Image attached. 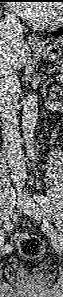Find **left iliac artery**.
<instances>
[{
    "instance_id": "left-iliac-artery-1",
    "label": "left iliac artery",
    "mask_w": 63,
    "mask_h": 297,
    "mask_svg": "<svg viewBox=\"0 0 63 297\" xmlns=\"http://www.w3.org/2000/svg\"><path fill=\"white\" fill-rule=\"evenodd\" d=\"M35 198H36V201L41 205L44 214L50 217L52 210H51V204L49 199L43 195L37 196Z\"/></svg>"
}]
</instances>
